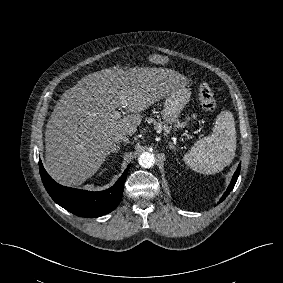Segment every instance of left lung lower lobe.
Instances as JSON below:
<instances>
[{
    "instance_id": "0a47b994",
    "label": "left lung lower lobe",
    "mask_w": 283,
    "mask_h": 283,
    "mask_svg": "<svg viewBox=\"0 0 283 283\" xmlns=\"http://www.w3.org/2000/svg\"><path fill=\"white\" fill-rule=\"evenodd\" d=\"M239 173H240V165L238 166L236 172L234 173V176H233V178H232V180H231V183H230V185L228 186L226 192L223 194V196H222L220 202H222V201L229 195V193L232 191V189L234 188L235 183H236V181H237V178H238V176H239Z\"/></svg>"
}]
</instances>
